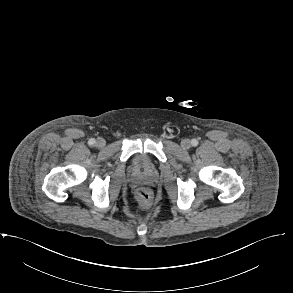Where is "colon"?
I'll list each match as a JSON object with an SVG mask.
<instances>
[{"label": "colon", "mask_w": 293, "mask_h": 293, "mask_svg": "<svg viewBox=\"0 0 293 293\" xmlns=\"http://www.w3.org/2000/svg\"><path fill=\"white\" fill-rule=\"evenodd\" d=\"M136 198L138 208L141 210L147 209L152 203L151 194L146 188H138L136 190Z\"/></svg>", "instance_id": "5ec220e1"}]
</instances>
